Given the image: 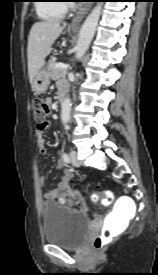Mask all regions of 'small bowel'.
<instances>
[{
    "instance_id": "c3829d8e",
    "label": "small bowel",
    "mask_w": 158,
    "mask_h": 275,
    "mask_svg": "<svg viewBox=\"0 0 158 275\" xmlns=\"http://www.w3.org/2000/svg\"><path fill=\"white\" fill-rule=\"evenodd\" d=\"M57 86H58V90H60L63 87H68L67 83H65L64 81H59ZM48 126H49V122H48ZM43 131L44 130H38V129L36 130V137H37L36 143L41 153L47 154L49 150L47 148L46 141L42 136ZM56 166L58 169H61L64 166V162L60 159L58 160ZM71 179H72V173L69 170L65 171L62 177V181L56 187L44 193V200L46 202L62 200L63 202H66L70 205H74L81 209H85L86 208L85 201L82 195L80 194V192L71 186L70 184ZM45 182H46L45 177L39 178L40 185H44Z\"/></svg>"
}]
</instances>
